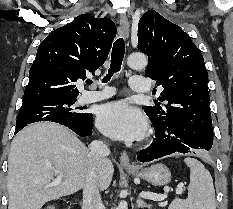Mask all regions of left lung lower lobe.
Masks as SVG:
<instances>
[{
	"instance_id": "obj_1",
	"label": "left lung lower lobe",
	"mask_w": 233,
	"mask_h": 209,
	"mask_svg": "<svg viewBox=\"0 0 233 209\" xmlns=\"http://www.w3.org/2000/svg\"><path fill=\"white\" fill-rule=\"evenodd\" d=\"M156 140L138 154V161L149 162L172 153H188L192 149L209 151L213 144V131L191 122H152Z\"/></svg>"
}]
</instances>
